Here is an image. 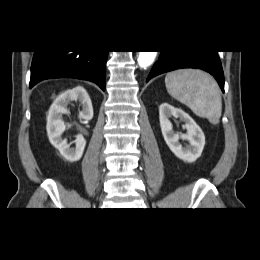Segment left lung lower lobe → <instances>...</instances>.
<instances>
[{
	"mask_svg": "<svg viewBox=\"0 0 260 260\" xmlns=\"http://www.w3.org/2000/svg\"><path fill=\"white\" fill-rule=\"evenodd\" d=\"M181 68H197L209 72L217 80L221 90L224 92L223 69L215 50L161 51L159 59L154 64L147 81L159 74Z\"/></svg>",
	"mask_w": 260,
	"mask_h": 260,
	"instance_id": "0a47b994",
	"label": "left lung lower lobe"
}]
</instances>
